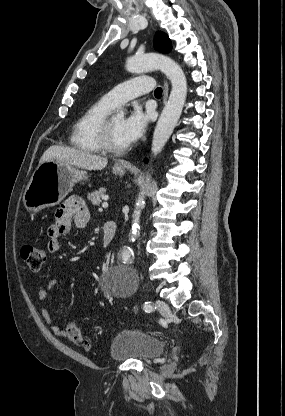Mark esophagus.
I'll use <instances>...</instances> for the list:
<instances>
[{
	"mask_svg": "<svg viewBox=\"0 0 285 416\" xmlns=\"http://www.w3.org/2000/svg\"><path fill=\"white\" fill-rule=\"evenodd\" d=\"M168 92H169V85H168L167 80H165V82H164V91H163V103H165L167 101ZM121 164L124 165V166H130L127 162H121Z\"/></svg>",
	"mask_w": 285,
	"mask_h": 416,
	"instance_id": "1",
	"label": "esophagus"
}]
</instances>
